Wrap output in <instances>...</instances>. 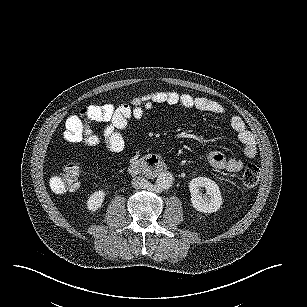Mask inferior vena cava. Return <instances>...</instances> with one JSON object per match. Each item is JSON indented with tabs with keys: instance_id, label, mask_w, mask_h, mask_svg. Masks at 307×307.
<instances>
[{
	"instance_id": "1",
	"label": "inferior vena cava",
	"mask_w": 307,
	"mask_h": 307,
	"mask_svg": "<svg viewBox=\"0 0 307 307\" xmlns=\"http://www.w3.org/2000/svg\"><path fill=\"white\" fill-rule=\"evenodd\" d=\"M131 184L135 189H143L145 186H147L148 181L141 176H136L132 179Z\"/></svg>"
}]
</instances>
